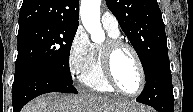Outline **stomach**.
Wrapping results in <instances>:
<instances>
[{
    "mask_svg": "<svg viewBox=\"0 0 193 112\" xmlns=\"http://www.w3.org/2000/svg\"><path fill=\"white\" fill-rule=\"evenodd\" d=\"M127 112H145V110L139 107L136 110H128Z\"/></svg>",
    "mask_w": 193,
    "mask_h": 112,
    "instance_id": "obj_1",
    "label": "stomach"
}]
</instances>
